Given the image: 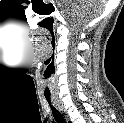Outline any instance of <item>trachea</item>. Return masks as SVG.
I'll return each mask as SVG.
<instances>
[{
    "mask_svg": "<svg viewBox=\"0 0 124 123\" xmlns=\"http://www.w3.org/2000/svg\"><path fill=\"white\" fill-rule=\"evenodd\" d=\"M46 100L51 108L53 117L57 123H66V120L61 113L52 105L50 97H46Z\"/></svg>",
    "mask_w": 124,
    "mask_h": 123,
    "instance_id": "1",
    "label": "trachea"
}]
</instances>
